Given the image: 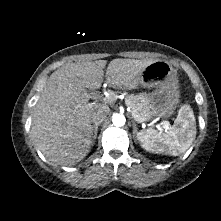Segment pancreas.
Returning a JSON list of instances; mask_svg holds the SVG:
<instances>
[{
	"mask_svg": "<svg viewBox=\"0 0 221 221\" xmlns=\"http://www.w3.org/2000/svg\"><path fill=\"white\" fill-rule=\"evenodd\" d=\"M125 103L131 109V113L137 114L143 122L150 119V108L147 98L143 94L129 95L126 97Z\"/></svg>",
	"mask_w": 221,
	"mask_h": 221,
	"instance_id": "1",
	"label": "pancreas"
}]
</instances>
